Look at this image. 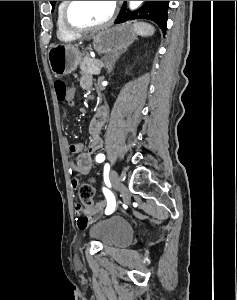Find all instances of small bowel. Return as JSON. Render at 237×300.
Listing matches in <instances>:
<instances>
[{"instance_id": "c3829d8e", "label": "small bowel", "mask_w": 237, "mask_h": 300, "mask_svg": "<svg viewBox=\"0 0 237 300\" xmlns=\"http://www.w3.org/2000/svg\"><path fill=\"white\" fill-rule=\"evenodd\" d=\"M81 87L85 90H91L93 86V80L90 76H84L81 78ZM69 97H75V89L71 88L68 92ZM108 112L104 106L97 109L94 116L92 117L89 124V145L86 148L84 142H74L69 145V152L72 154L73 159L71 163V168L77 172L86 174L89 173L92 168L91 156L101 149L103 145L102 138L100 136L101 131L107 121ZM72 187L76 188L79 184L77 178H73L71 181ZM105 202H99L95 208L94 215H86L81 206H76V216H77V226L79 229H85L105 208Z\"/></svg>"}]
</instances>
